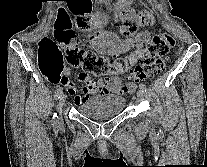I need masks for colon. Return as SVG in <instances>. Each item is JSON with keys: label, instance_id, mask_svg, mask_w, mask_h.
I'll return each instance as SVG.
<instances>
[{"label": "colon", "instance_id": "1", "mask_svg": "<svg viewBox=\"0 0 207 167\" xmlns=\"http://www.w3.org/2000/svg\"><path fill=\"white\" fill-rule=\"evenodd\" d=\"M173 45V38L162 33L155 35L144 48H138L126 57L109 61L90 49L78 46L70 16L66 10H61L55 20L54 38H44L39 43L37 62L41 74L53 83L59 82L62 77L64 59L68 64L81 67L97 77L110 74L111 64L114 62L123 72L128 73L127 83H136L154 77L165 68L167 55ZM137 62L139 64L132 68Z\"/></svg>", "mask_w": 207, "mask_h": 167}]
</instances>
